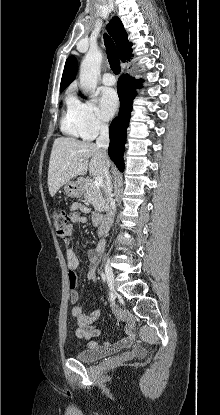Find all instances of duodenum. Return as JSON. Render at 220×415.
<instances>
[{"instance_id": "1", "label": "duodenum", "mask_w": 220, "mask_h": 415, "mask_svg": "<svg viewBox=\"0 0 220 415\" xmlns=\"http://www.w3.org/2000/svg\"><path fill=\"white\" fill-rule=\"evenodd\" d=\"M113 211L111 209H107V213L105 217H102L101 222L99 223V233L102 238L107 236L109 224L113 218Z\"/></svg>"}]
</instances>
